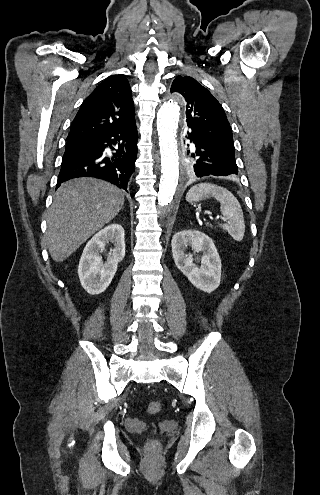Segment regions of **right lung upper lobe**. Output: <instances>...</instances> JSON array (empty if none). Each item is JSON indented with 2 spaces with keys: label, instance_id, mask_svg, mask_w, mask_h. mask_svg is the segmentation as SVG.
Listing matches in <instances>:
<instances>
[{
  "label": "right lung upper lobe",
  "instance_id": "right-lung-upper-lobe-1",
  "mask_svg": "<svg viewBox=\"0 0 320 495\" xmlns=\"http://www.w3.org/2000/svg\"><path fill=\"white\" fill-rule=\"evenodd\" d=\"M132 91L126 77L103 80L84 100L66 140H75L135 123Z\"/></svg>",
  "mask_w": 320,
  "mask_h": 495
}]
</instances>
